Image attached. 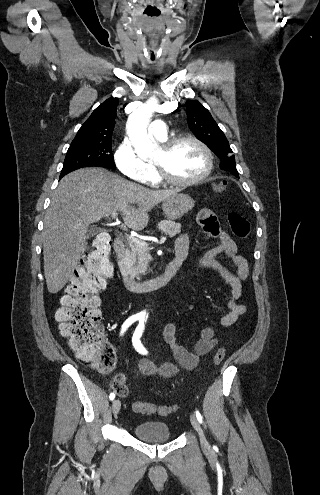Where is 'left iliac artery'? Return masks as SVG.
Here are the masks:
<instances>
[{
  "label": "left iliac artery",
  "instance_id": "left-iliac-artery-1",
  "mask_svg": "<svg viewBox=\"0 0 320 495\" xmlns=\"http://www.w3.org/2000/svg\"><path fill=\"white\" fill-rule=\"evenodd\" d=\"M144 327H145V324H144V322H143V321H141V322L139 323V325L137 326V328H136V330H135V332H134V334H133V337H132V343H133L134 348H135V349H136L139 353H141V354H147V353H148V352H147V350L145 349V347L143 346V344H142V343H141V341H140V337H141V336H142V334H143ZM195 414H196V417H197L198 421H199L200 423H202V419H203V418H202L201 413H200L198 410H196Z\"/></svg>",
  "mask_w": 320,
  "mask_h": 495
}]
</instances>
